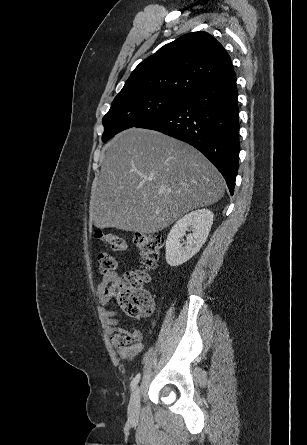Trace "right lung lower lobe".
<instances>
[{
	"label": "right lung lower lobe",
	"mask_w": 307,
	"mask_h": 445,
	"mask_svg": "<svg viewBox=\"0 0 307 445\" xmlns=\"http://www.w3.org/2000/svg\"><path fill=\"white\" fill-rule=\"evenodd\" d=\"M236 75L186 96L170 111L135 127L162 132L189 143L221 172L231 195L239 161Z\"/></svg>",
	"instance_id": "98d812e1"
}]
</instances>
